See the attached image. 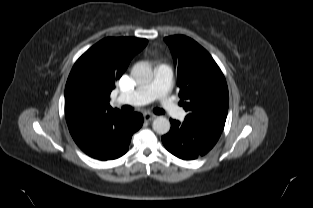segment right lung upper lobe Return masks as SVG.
<instances>
[{
	"mask_svg": "<svg viewBox=\"0 0 313 208\" xmlns=\"http://www.w3.org/2000/svg\"><path fill=\"white\" fill-rule=\"evenodd\" d=\"M148 41L135 37L105 38L74 64L65 87V114L108 111L111 91L135 54Z\"/></svg>",
	"mask_w": 313,
	"mask_h": 208,
	"instance_id": "cb5924a9",
	"label": "right lung upper lobe"
}]
</instances>
